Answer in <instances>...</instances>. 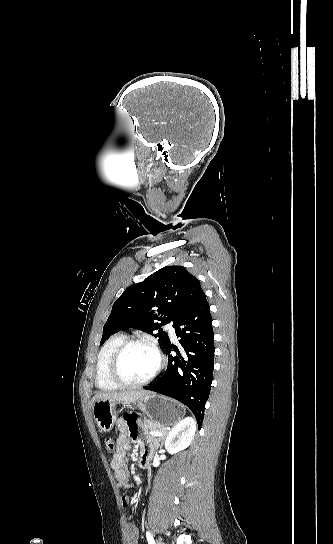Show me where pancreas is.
Masks as SVG:
<instances>
[{
    "label": "pancreas",
    "mask_w": 333,
    "mask_h": 544,
    "mask_svg": "<svg viewBox=\"0 0 333 544\" xmlns=\"http://www.w3.org/2000/svg\"><path fill=\"white\" fill-rule=\"evenodd\" d=\"M140 425L144 429L146 435L149 434V431L167 432L164 426L150 420H145L144 423L141 422Z\"/></svg>",
    "instance_id": "obj_1"
}]
</instances>
